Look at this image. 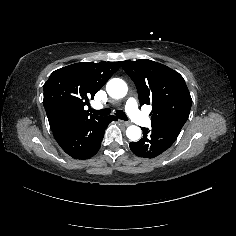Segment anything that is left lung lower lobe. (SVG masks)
<instances>
[{
	"mask_svg": "<svg viewBox=\"0 0 236 236\" xmlns=\"http://www.w3.org/2000/svg\"><path fill=\"white\" fill-rule=\"evenodd\" d=\"M143 138L138 142H130V149L138 157L154 158L166 151L177 139L180 130L154 127L142 128Z\"/></svg>",
	"mask_w": 236,
	"mask_h": 236,
	"instance_id": "left-lung-lower-lobe-1",
	"label": "left lung lower lobe"
}]
</instances>
